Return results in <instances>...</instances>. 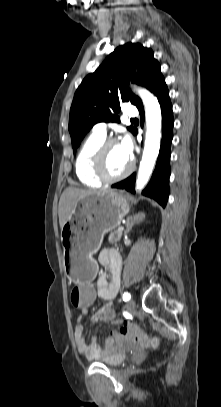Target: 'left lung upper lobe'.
Listing matches in <instances>:
<instances>
[{
	"mask_svg": "<svg viewBox=\"0 0 221 407\" xmlns=\"http://www.w3.org/2000/svg\"><path fill=\"white\" fill-rule=\"evenodd\" d=\"M164 78L153 51L141 44L117 47L98 67L84 78L75 92L70 110L69 132L74 150L86 133L98 122H119L120 103L130 101L137 108L142 101L127 85L137 83L151 92ZM132 133L136 129L128 127Z\"/></svg>",
	"mask_w": 221,
	"mask_h": 407,
	"instance_id": "1",
	"label": "left lung upper lobe"
}]
</instances>
